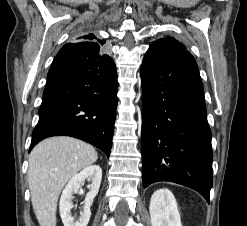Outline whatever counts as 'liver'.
I'll return each mask as SVG.
<instances>
[{"mask_svg": "<svg viewBox=\"0 0 247 226\" xmlns=\"http://www.w3.org/2000/svg\"><path fill=\"white\" fill-rule=\"evenodd\" d=\"M98 158L89 144L71 137H52L34 147L29 156L28 183L40 226H56L59 195L65 184Z\"/></svg>", "mask_w": 247, "mask_h": 226, "instance_id": "6515ba94", "label": "liver"}]
</instances>
